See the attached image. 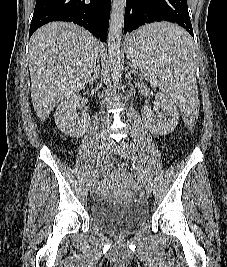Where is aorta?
Segmentation results:
<instances>
[{
  "instance_id": "obj_1",
  "label": "aorta",
  "mask_w": 227,
  "mask_h": 267,
  "mask_svg": "<svg viewBox=\"0 0 227 267\" xmlns=\"http://www.w3.org/2000/svg\"><path fill=\"white\" fill-rule=\"evenodd\" d=\"M126 0H113L108 33L109 67L114 85L117 86L121 77V35L124 26Z\"/></svg>"
}]
</instances>
